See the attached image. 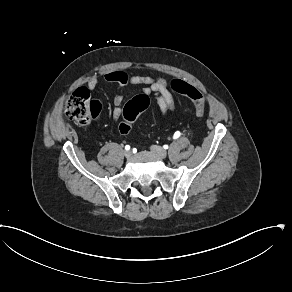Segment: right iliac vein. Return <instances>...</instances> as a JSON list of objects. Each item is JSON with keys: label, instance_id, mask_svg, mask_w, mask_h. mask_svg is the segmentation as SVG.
Returning <instances> with one entry per match:
<instances>
[{"label": "right iliac vein", "instance_id": "1", "mask_svg": "<svg viewBox=\"0 0 292 292\" xmlns=\"http://www.w3.org/2000/svg\"><path fill=\"white\" fill-rule=\"evenodd\" d=\"M131 155H132V152L129 151V150H126V151L124 152V156H125L126 158L131 157Z\"/></svg>", "mask_w": 292, "mask_h": 292}]
</instances>
